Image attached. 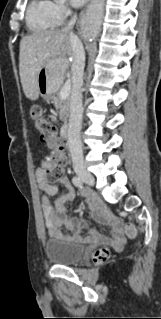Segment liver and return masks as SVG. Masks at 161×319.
Segmentation results:
<instances>
[{"label":"liver","instance_id":"liver-1","mask_svg":"<svg viewBox=\"0 0 161 319\" xmlns=\"http://www.w3.org/2000/svg\"><path fill=\"white\" fill-rule=\"evenodd\" d=\"M67 56H73L70 35L63 30H47L23 37L20 42L19 73L25 96L36 100L39 96L38 73L52 59L64 69Z\"/></svg>","mask_w":161,"mask_h":319}]
</instances>
